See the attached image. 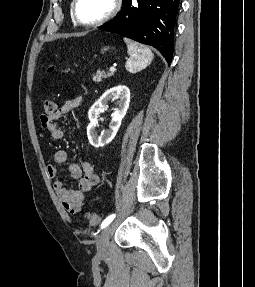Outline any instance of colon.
I'll list each match as a JSON object with an SVG mask.
<instances>
[{"mask_svg": "<svg viewBox=\"0 0 255 287\" xmlns=\"http://www.w3.org/2000/svg\"><path fill=\"white\" fill-rule=\"evenodd\" d=\"M48 70L49 72H52L54 70V66L49 67ZM43 107L47 114H53L56 111V104L50 98L43 99ZM85 217L91 225H98L101 222V216L96 213L86 212Z\"/></svg>", "mask_w": 255, "mask_h": 287, "instance_id": "1", "label": "colon"}]
</instances>
